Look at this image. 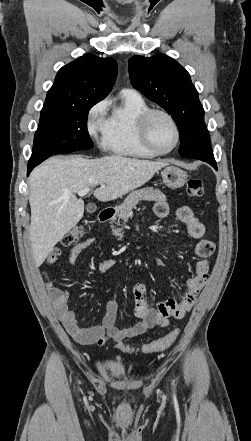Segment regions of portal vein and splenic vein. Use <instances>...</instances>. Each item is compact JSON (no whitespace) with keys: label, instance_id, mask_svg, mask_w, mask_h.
<instances>
[{"label":"portal vein and splenic vein","instance_id":"18ae733b","mask_svg":"<svg viewBox=\"0 0 251 441\" xmlns=\"http://www.w3.org/2000/svg\"><path fill=\"white\" fill-rule=\"evenodd\" d=\"M101 188H105L104 184H101ZM90 191V188H85L77 192L78 196H85Z\"/></svg>","mask_w":251,"mask_h":441}]
</instances>
